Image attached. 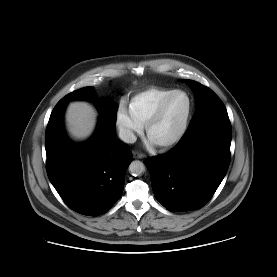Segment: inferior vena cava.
I'll list each match as a JSON object with an SVG mask.
<instances>
[{"instance_id":"obj_1","label":"inferior vena cava","mask_w":277,"mask_h":277,"mask_svg":"<svg viewBox=\"0 0 277 277\" xmlns=\"http://www.w3.org/2000/svg\"><path fill=\"white\" fill-rule=\"evenodd\" d=\"M119 137L126 143H134L137 139L134 133L126 128H120Z\"/></svg>"}]
</instances>
